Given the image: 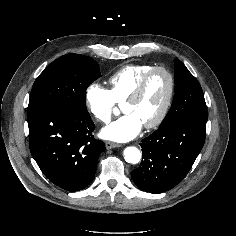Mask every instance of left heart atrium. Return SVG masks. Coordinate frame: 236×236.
Wrapping results in <instances>:
<instances>
[{
    "instance_id": "1",
    "label": "left heart atrium",
    "mask_w": 236,
    "mask_h": 236,
    "mask_svg": "<svg viewBox=\"0 0 236 236\" xmlns=\"http://www.w3.org/2000/svg\"><path fill=\"white\" fill-rule=\"evenodd\" d=\"M143 123L134 113H127L101 131V136L115 142H127L141 131Z\"/></svg>"
}]
</instances>
